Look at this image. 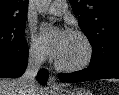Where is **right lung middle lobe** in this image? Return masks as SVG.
I'll list each match as a JSON object with an SVG mask.
<instances>
[{
    "label": "right lung middle lobe",
    "instance_id": "1",
    "mask_svg": "<svg viewBox=\"0 0 119 95\" xmlns=\"http://www.w3.org/2000/svg\"><path fill=\"white\" fill-rule=\"evenodd\" d=\"M24 33L25 21L0 25V51L22 49L27 44Z\"/></svg>",
    "mask_w": 119,
    "mask_h": 95
}]
</instances>
